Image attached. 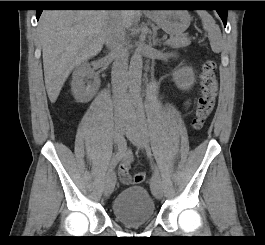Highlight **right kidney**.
Returning a JSON list of instances; mask_svg holds the SVG:
<instances>
[{
    "instance_id": "right-kidney-1",
    "label": "right kidney",
    "mask_w": 265,
    "mask_h": 245,
    "mask_svg": "<svg viewBox=\"0 0 265 245\" xmlns=\"http://www.w3.org/2000/svg\"><path fill=\"white\" fill-rule=\"evenodd\" d=\"M86 79H93L86 85ZM100 86V78L91 68L90 64L83 62L76 66L72 74L71 90L78 102H88L96 94Z\"/></svg>"
}]
</instances>
